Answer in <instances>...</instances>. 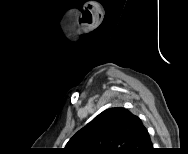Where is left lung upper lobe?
Here are the masks:
<instances>
[{"label": "left lung upper lobe", "mask_w": 188, "mask_h": 154, "mask_svg": "<svg viewBox=\"0 0 188 154\" xmlns=\"http://www.w3.org/2000/svg\"><path fill=\"white\" fill-rule=\"evenodd\" d=\"M135 117L125 108H109L79 130L65 150L74 154H127Z\"/></svg>", "instance_id": "obj_1"}]
</instances>
